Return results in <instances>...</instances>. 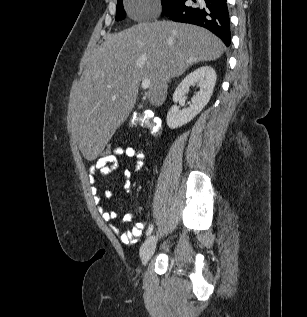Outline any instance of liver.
I'll list each match as a JSON object with an SVG mask.
<instances>
[{"mask_svg":"<svg viewBox=\"0 0 307 317\" xmlns=\"http://www.w3.org/2000/svg\"><path fill=\"white\" fill-rule=\"evenodd\" d=\"M225 46L210 31L172 21L140 23L107 35L89 59L71 102L72 132L88 160L95 159L132 111L140 82L150 80L155 106L167 84L191 65L216 60Z\"/></svg>","mask_w":307,"mask_h":317,"instance_id":"1","label":"liver"}]
</instances>
